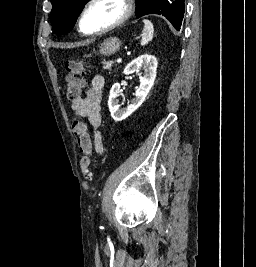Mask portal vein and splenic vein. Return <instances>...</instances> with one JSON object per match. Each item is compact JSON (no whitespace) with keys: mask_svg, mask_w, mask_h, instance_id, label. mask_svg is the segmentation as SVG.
I'll list each match as a JSON object with an SVG mask.
<instances>
[{"mask_svg":"<svg viewBox=\"0 0 256 267\" xmlns=\"http://www.w3.org/2000/svg\"><path fill=\"white\" fill-rule=\"evenodd\" d=\"M118 63H119V64H123V63H124V60H123V59H119V60H118Z\"/></svg>","mask_w":256,"mask_h":267,"instance_id":"obj_1","label":"portal vein and splenic vein"}]
</instances>
